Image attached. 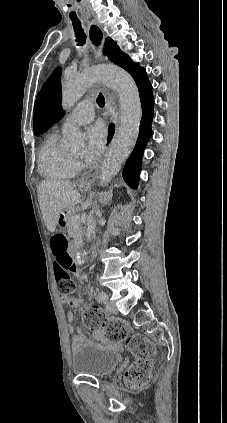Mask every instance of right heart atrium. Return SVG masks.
<instances>
[{
  "instance_id": "right-heart-atrium-1",
  "label": "right heart atrium",
  "mask_w": 227,
  "mask_h": 423,
  "mask_svg": "<svg viewBox=\"0 0 227 423\" xmlns=\"http://www.w3.org/2000/svg\"><path fill=\"white\" fill-rule=\"evenodd\" d=\"M83 168V163L78 158H73L72 171L73 174L78 173Z\"/></svg>"
}]
</instances>
